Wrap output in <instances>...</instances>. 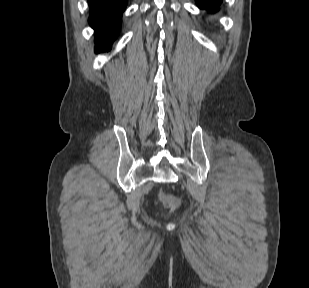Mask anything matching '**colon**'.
Here are the masks:
<instances>
[{
  "label": "colon",
  "mask_w": 309,
  "mask_h": 288,
  "mask_svg": "<svg viewBox=\"0 0 309 288\" xmlns=\"http://www.w3.org/2000/svg\"><path fill=\"white\" fill-rule=\"evenodd\" d=\"M160 200L163 202V204L171 209H174L177 207L178 205V200L176 197L169 195V194H165V193H161L159 195Z\"/></svg>",
  "instance_id": "5ec220e1"
}]
</instances>
